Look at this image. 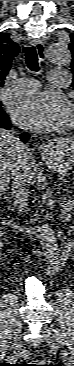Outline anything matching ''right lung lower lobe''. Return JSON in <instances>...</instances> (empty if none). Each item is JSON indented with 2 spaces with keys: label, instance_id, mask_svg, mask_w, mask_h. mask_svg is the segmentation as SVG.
<instances>
[{
  "label": "right lung lower lobe",
  "instance_id": "obj_1",
  "mask_svg": "<svg viewBox=\"0 0 74 366\" xmlns=\"http://www.w3.org/2000/svg\"><path fill=\"white\" fill-rule=\"evenodd\" d=\"M8 117L7 115H3L2 117H0V128H5V129H10L11 124L8 121ZM21 139L25 142L29 139V134L28 133H22L21 135Z\"/></svg>",
  "mask_w": 74,
  "mask_h": 366
}]
</instances>
